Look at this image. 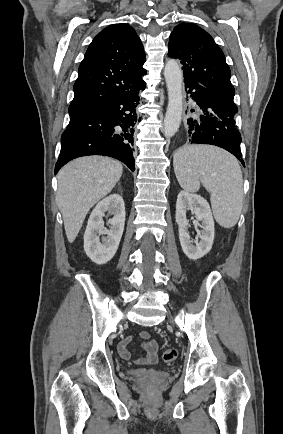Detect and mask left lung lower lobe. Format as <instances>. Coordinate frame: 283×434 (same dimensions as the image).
<instances>
[{
	"label": "left lung lower lobe",
	"mask_w": 283,
	"mask_h": 434,
	"mask_svg": "<svg viewBox=\"0 0 283 434\" xmlns=\"http://www.w3.org/2000/svg\"><path fill=\"white\" fill-rule=\"evenodd\" d=\"M185 90L198 105L194 115L187 119L189 142L221 147L245 166L242 159L241 135L235 126L234 115L238 111L233 99L211 90L196 81L184 79Z\"/></svg>",
	"instance_id": "left-lung-lower-lobe-1"
}]
</instances>
